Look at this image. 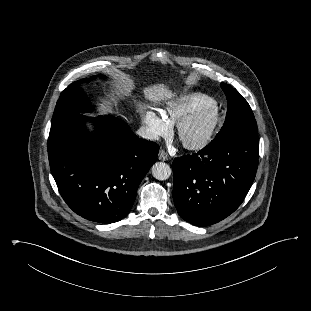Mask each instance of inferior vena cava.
<instances>
[{
	"label": "inferior vena cava",
	"mask_w": 311,
	"mask_h": 311,
	"mask_svg": "<svg viewBox=\"0 0 311 311\" xmlns=\"http://www.w3.org/2000/svg\"><path fill=\"white\" fill-rule=\"evenodd\" d=\"M140 137L147 140H157L158 136L148 127L142 126L136 132Z\"/></svg>",
	"instance_id": "1"
}]
</instances>
